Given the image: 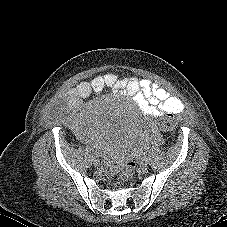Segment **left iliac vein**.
Masks as SVG:
<instances>
[{"label":"left iliac vein","instance_id":"4c4485c4","mask_svg":"<svg viewBox=\"0 0 227 227\" xmlns=\"http://www.w3.org/2000/svg\"><path fill=\"white\" fill-rule=\"evenodd\" d=\"M148 163H149V158L147 156H144L141 158L140 165L142 167H146L148 165Z\"/></svg>","mask_w":227,"mask_h":227}]
</instances>
